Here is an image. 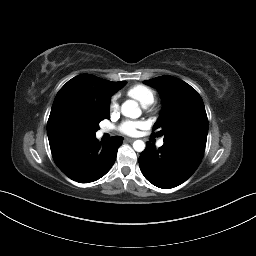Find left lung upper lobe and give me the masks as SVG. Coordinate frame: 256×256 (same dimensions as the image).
Here are the masks:
<instances>
[{
	"label": "left lung upper lobe",
	"mask_w": 256,
	"mask_h": 256,
	"mask_svg": "<svg viewBox=\"0 0 256 256\" xmlns=\"http://www.w3.org/2000/svg\"><path fill=\"white\" fill-rule=\"evenodd\" d=\"M143 83L155 87L163 109L153 130L165 135L164 145L202 158L207 141L208 119L204 103L197 91L173 76H160Z\"/></svg>",
	"instance_id": "left-lung-upper-lobe-1"
}]
</instances>
